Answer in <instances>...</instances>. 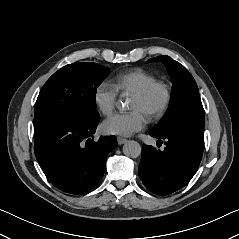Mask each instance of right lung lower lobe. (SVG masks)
I'll list each match as a JSON object with an SVG mask.
<instances>
[{
  "mask_svg": "<svg viewBox=\"0 0 239 239\" xmlns=\"http://www.w3.org/2000/svg\"><path fill=\"white\" fill-rule=\"evenodd\" d=\"M99 119L82 120L62 116L46 121L35 129L34 152L51 183L58 189L80 195L101 179L105 157L116 148L114 135L93 141Z\"/></svg>",
  "mask_w": 239,
  "mask_h": 239,
  "instance_id": "98d812e1",
  "label": "right lung lower lobe"
}]
</instances>
